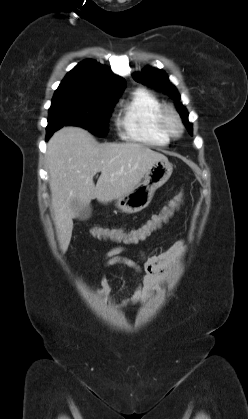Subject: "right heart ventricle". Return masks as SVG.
Masks as SVG:
<instances>
[{
  "mask_svg": "<svg viewBox=\"0 0 248 419\" xmlns=\"http://www.w3.org/2000/svg\"><path fill=\"white\" fill-rule=\"evenodd\" d=\"M162 102L150 91L138 89L121 105L117 123L125 139L164 146L170 138L159 123Z\"/></svg>",
  "mask_w": 248,
  "mask_h": 419,
  "instance_id": "1",
  "label": "right heart ventricle"
}]
</instances>
